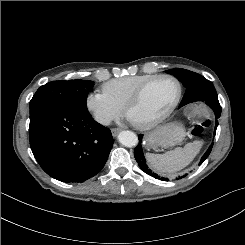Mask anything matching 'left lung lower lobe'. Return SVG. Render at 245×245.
Here are the masks:
<instances>
[{
	"label": "left lung lower lobe",
	"instance_id": "obj_1",
	"mask_svg": "<svg viewBox=\"0 0 245 245\" xmlns=\"http://www.w3.org/2000/svg\"><path fill=\"white\" fill-rule=\"evenodd\" d=\"M214 111L215 113V117H216V122H215V130H214V134L216 133V129L218 126V118L221 115V106L219 104V101L217 99H210V100H204ZM142 138L143 135L140 134L139 135V144L136 146L135 150H134V156L136 161L138 162L139 167L147 174L153 176L156 179H160V180H164V181H168L167 178H163L158 176L157 174L153 173L150 169H148L146 163H145V157L143 154V150H142ZM213 143L209 146L208 150L205 152V154L202 156L201 161L199 163V165L202 164V162L209 156L211 149H212ZM180 178V177H179Z\"/></svg>",
	"mask_w": 245,
	"mask_h": 245
}]
</instances>
